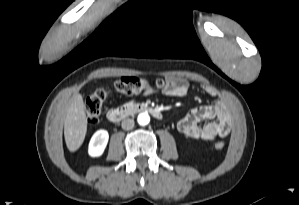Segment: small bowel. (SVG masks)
<instances>
[{"label": "small bowel", "mask_w": 299, "mask_h": 205, "mask_svg": "<svg viewBox=\"0 0 299 205\" xmlns=\"http://www.w3.org/2000/svg\"><path fill=\"white\" fill-rule=\"evenodd\" d=\"M170 86L164 89V94L172 97L186 96L189 91V81L183 77H168ZM203 91L211 97H216L217 91L208 85L202 86ZM147 89L144 95L151 94ZM208 120L204 125L201 121ZM177 129L183 135L202 140H214L226 137L231 130V116L226 102L218 99L215 103L193 109L178 124Z\"/></svg>", "instance_id": "obj_1"}]
</instances>
